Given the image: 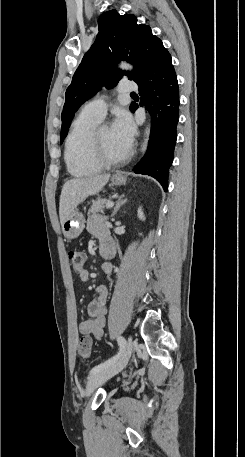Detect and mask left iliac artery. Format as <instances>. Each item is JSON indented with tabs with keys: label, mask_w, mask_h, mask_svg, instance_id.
<instances>
[{
	"label": "left iliac artery",
	"mask_w": 245,
	"mask_h": 457,
	"mask_svg": "<svg viewBox=\"0 0 245 457\" xmlns=\"http://www.w3.org/2000/svg\"><path fill=\"white\" fill-rule=\"evenodd\" d=\"M117 341H118V344H119V352L111 357L110 359L104 361L103 363H100L99 365L95 366L91 371H90V374H94L104 368H107L109 366H111L120 356L121 354L124 352L125 348H126V340L122 337V336H118L117 337Z\"/></svg>",
	"instance_id": "44dca946"
}]
</instances>
